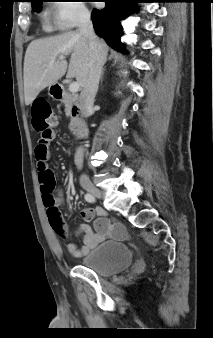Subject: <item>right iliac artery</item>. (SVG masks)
Instances as JSON below:
<instances>
[{
    "label": "right iliac artery",
    "mask_w": 213,
    "mask_h": 338,
    "mask_svg": "<svg viewBox=\"0 0 213 338\" xmlns=\"http://www.w3.org/2000/svg\"><path fill=\"white\" fill-rule=\"evenodd\" d=\"M84 198L87 202H95V197L92 194L87 193Z\"/></svg>",
    "instance_id": "right-iliac-artery-1"
}]
</instances>
